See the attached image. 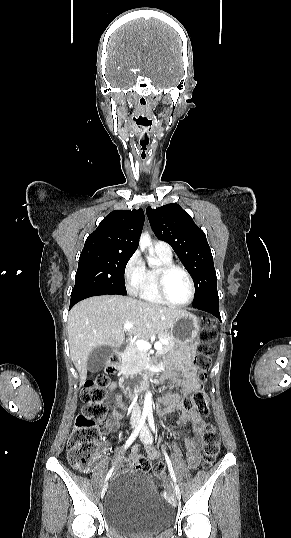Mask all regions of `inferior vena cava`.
<instances>
[{"instance_id":"obj_1","label":"inferior vena cava","mask_w":291,"mask_h":538,"mask_svg":"<svg viewBox=\"0 0 291 538\" xmlns=\"http://www.w3.org/2000/svg\"><path fill=\"white\" fill-rule=\"evenodd\" d=\"M141 417V409L139 405L133 404L132 405V412H131V422L132 423H138Z\"/></svg>"}]
</instances>
